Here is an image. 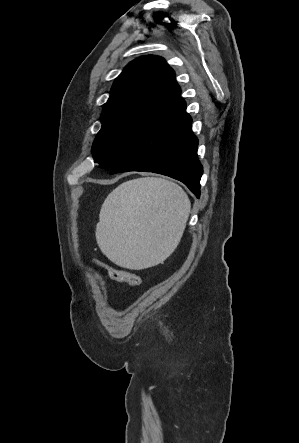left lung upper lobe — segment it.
Masks as SVG:
<instances>
[{
    "label": "left lung upper lobe",
    "instance_id": "5c2ea615",
    "mask_svg": "<svg viewBox=\"0 0 299 443\" xmlns=\"http://www.w3.org/2000/svg\"><path fill=\"white\" fill-rule=\"evenodd\" d=\"M175 73L162 57L141 56L115 79L92 145L100 168H112L180 98Z\"/></svg>",
    "mask_w": 299,
    "mask_h": 443
}]
</instances>
